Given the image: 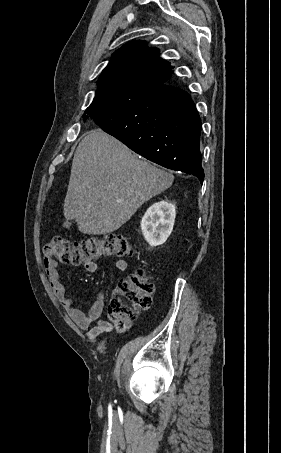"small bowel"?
<instances>
[{
  "instance_id": "c3829d8e",
  "label": "small bowel",
  "mask_w": 281,
  "mask_h": 453,
  "mask_svg": "<svg viewBox=\"0 0 281 453\" xmlns=\"http://www.w3.org/2000/svg\"><path fill=\"white\" fill-rule=\"evenodd\" d=\"M115 266L118 273H123L128 268L127 261L124 259L116 260ZM44 269L51 289L78 327L81 330H86V336L89 339H95L103 332H109L113 329L111 322L101 319L104 310V292L102 290H98L96 298L88 304L87 313L85 314L74 305L72 298L66 293L63 282L60 279L57 261L53 258L45 259ZM87 269L90 272H96L97 264L88 263ZM93 323H96V325L90 329Z\"/></svg>"
}]
</instances>
